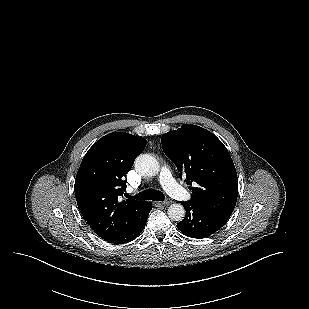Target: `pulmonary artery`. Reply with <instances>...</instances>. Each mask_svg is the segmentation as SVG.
Instances as JSON below:
<instances>
[{"label": "pulmonary artery", "mask_w": 309, "mask_h": 309, "mask_svg": "<svg viewBox=\"0 0 309 309\" xmlns=\"http://www.w3.org/2000/svg\"><path fill=\"white\" fill-rule=\"evenodd\" d=\"M161 182L166 192L173 198L181 201L191 199V194L173 178L169 168L164 167L161 171Z\"/></svg>", "instance_id": "e3ab8cb5"}]
</instances>
